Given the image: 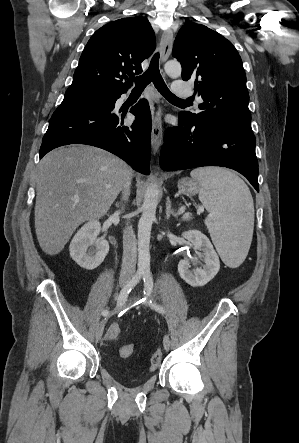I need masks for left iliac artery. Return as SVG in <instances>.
Masks as SVG:
<instances>
[{"label": "left iliac artery", "instance_id": "left-iliac-artery-1", "mask_svg": "<svg viewBox=\"0 0 299 443\" xmlns=\"http://www.w3.org/2000/svg\"><path fill=\"white\" fill-rule=\"evenodd\" d=\"M143 280H144V287H145L144 294L146 295V297L144 298V301L146 300L148 305L151 306L156 311H158L162 314L165 313V309L162 306L152 302V300H151L150 295H151V292L153 289V278H152V275L149 271H147L143 274Z\"/></svg>", "mask_w": 299, "mask_h": 443}]
</instances>
